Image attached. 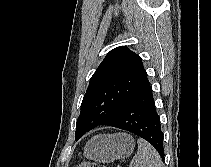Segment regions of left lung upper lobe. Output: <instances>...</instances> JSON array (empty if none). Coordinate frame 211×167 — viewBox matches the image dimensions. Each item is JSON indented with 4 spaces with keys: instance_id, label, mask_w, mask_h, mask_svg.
Returning a JSON list of instances; mask_svg holds the SVG:
<instances>
[{
    "instance_id": "obj_1",
    "label": "left lung upper lobe",
    "mask_w": 211,
    "mask_h": 167,
    "mask_svg": "<svg viewBox=\"0 0 211 167\" xmlns=\"http://www.w3.org/2000/svg\"><path fill=\"white\" fill-rule=\"evenodd\" d=\"M149 84L140 56L125 46L111 50L90 79L77 119L75 139L107 123Z\"/></svg>"
}]
</instances>
